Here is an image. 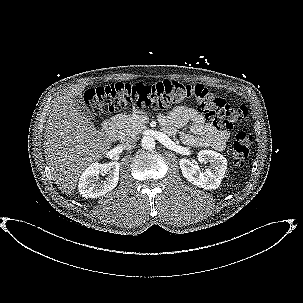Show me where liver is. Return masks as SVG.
Masks as SVG:
<instances>
[{
	"label": "liver",
	"instance_id": "liver-1",
	"mask_svg": "<svg viewBox=\"0 0 303 303\" xmlns=\"http://www.w3.org/2000/svg\"><path fill=\"white\" fill-rule=\"evenodd\" d=\"M85 85H76L55 98L44 133V154L53 180L72 195L81 173L103 158L112 144L109 131H99L75 107Z\"/></svg>",
	"mask_w": 303,
	"mask_h": 303
}]
</instances>
